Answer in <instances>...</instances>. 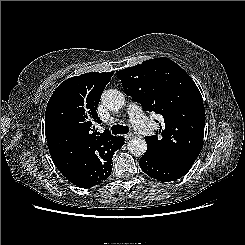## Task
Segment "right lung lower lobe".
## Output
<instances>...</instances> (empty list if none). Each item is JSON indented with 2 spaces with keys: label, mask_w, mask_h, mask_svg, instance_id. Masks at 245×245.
<instances>
[{
  "label": "right lung lower lobe",
  "mask_w": 245,
  "mask_h": 245,
  "mask_svg": "<svg viewBox=\"0 0 245 245\" xmlns=\"http://www.w3.org/2000/svg\"><path fill=\"white\" fill-rule=\"evenodd\" d=\"M123 137H117L114 141L98 146L93 150L92 156L88 163V168L94 172L93 178L89 182H84L77 169L67 166H56L59 171L72 182L74 185L82 188L93 187L102 181L106 180L112 170L113 152L120 149L124 144Z\"/></svg>",
  "instance_id": "1"
}]
</instances>
